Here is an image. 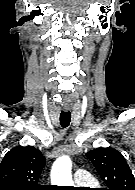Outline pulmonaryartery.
Here are the masks:
<instances>
[{
    "label": "pulmonary artery",
    "mask_w": 135,
    "mask_h": 190,
    "mask_svg": "<svg viewBox=\"0 0 135 190\" xmlns=\"http://www.w3.org/2000/svg\"><path fill=\"white\" fill-rule=\"evenodd\" d=\"M74 181L79 186H88L94 183L91 175L83 169L76 170L74 173Z\"/></svg>",
    "instance_id": "1"
}]
</instances>
